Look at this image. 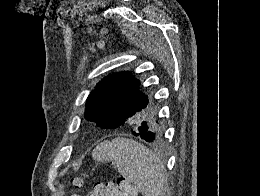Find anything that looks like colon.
I'll use <instances>...</instances> for the list:
<instances>
[{"mask_svg": "<svg viewBox=\"0 0 260 196\" xmlns=\"http://www.w3.org/2000/svg\"><path fill=\"white\" fill-rule=\"evenodd\" d=\"M124 182V178L119 177L118 180L114 181L115 185H122ZM71 184L74 188H80L81 184H82V179L81 177H74L71 179ZM116 193V192H114Z\"/></svg>", "mask_w": 260, "mask_h": 196, "instance_id": "obj_1", "label": "colon"}]
</instances>
